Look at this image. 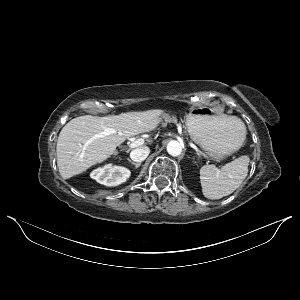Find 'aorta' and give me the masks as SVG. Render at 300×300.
I'll list each match as a JSON object with an SVG mask.
<instances>
[{
	"label": "aorta",
	"mask_w": 300,
	"mask_h": 300,
	"mask_svg": "<svg viewBox=\"0 0 300 300\" xmlns=\"http://www.w3.org/2000/svg\"><path fill=\"white\" fill-rule=\"evenodd\" d=\"M182 145L176 140H172L167 144V152L171 156L177 157L182 153Z\"/></svg>",
	"instance_id": "1"
}]
</instances>
